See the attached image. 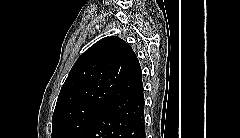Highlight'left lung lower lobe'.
<instances>
[{
	"label": "left lung lower lobe",
	"instance_id": "obj_1",
	"mask_svg": "<svg viewBox=\"0 0 240 138\" xmlns=\"http://www.w3.org/2000/svg\"><path fill=\"white\" fill-rule=\"evenodd\" d=\"M85 138H146L142 72L138 59Z\"/></svg>",
	"mask_w": 240,
	"mask_h": 138
}]
</instances>
